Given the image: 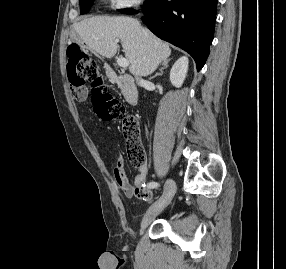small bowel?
Returning <instances> with one entry per match:
<instances>
[{"mask_svg": "<svg viewBox=\"0 0 286 269\" xmlns=\"http://www.w3.org/2000/svg\"><path fill=\"white\" fill-rule=\"evenodd\" d=\"M85 91L81 89L79 91L78 99H84ZM148 173L147 165H143L138 168V174L135 176L133 182H130L126 172H125V164L124 160L121 156H119L116 160V165L113 169V174L115 178V182L119 189L127 196L133 197L135 195V188L140 186L146 179Z\"/></svg>", "mask_w": 286, "mask_h": 269, "instance_id": "1", "label": "small bowel"}]
</instances>
